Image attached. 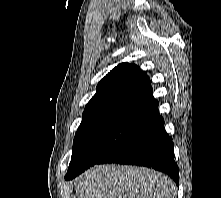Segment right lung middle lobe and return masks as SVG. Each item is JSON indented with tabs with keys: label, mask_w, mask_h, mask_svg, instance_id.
I'll list each match as a JSON object with an SVG mask.
<instances>
[{
	"label": "right lung middle lobe",
	"mask_w": 221,
	"mask_h": 198,
	"mask_svg": "<svg viewBox=\"0 0 221 198\" xmlns=\"http://www.w3.org/2000/svg\"><path fill=\"white\" fill-rule=\"evenodd\" d=\"M142 122L107 119L78 128L65 180H71L131 137Z\"/></svg>",
	"instance_id": "dd1d6c3e"
}]
</instances>
